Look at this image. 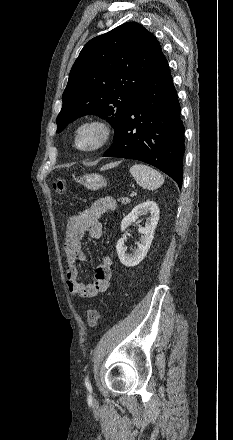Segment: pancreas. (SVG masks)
I'll list each match as a JSON object with an SVG mask.
<instances>
[{"label":"pancreas","mask_w":233,"mask_h":440,"mask_svg":"<svg viewBox=\"0 0 233 440\" xmlns=\"http://www.w3.org/2000/svg\"><path fill=\"white\" fill-rule=\"evenodd\" d=\"M118 201H121L122 204L130 203V200L128 198H119Z\"/></svg>","instance_id":"1"}]
</instances>
